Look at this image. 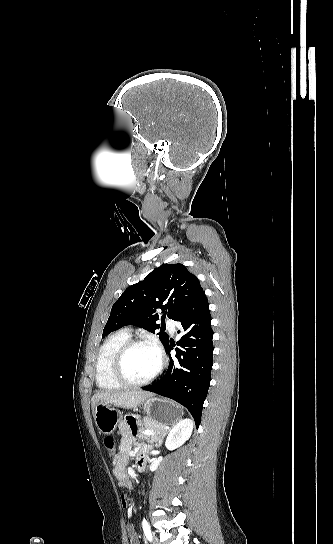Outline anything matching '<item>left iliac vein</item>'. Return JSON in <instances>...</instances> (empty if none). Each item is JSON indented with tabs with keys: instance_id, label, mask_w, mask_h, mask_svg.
<instances>
[{
	"instance_id": "obj_1",
	"label": "left iliac vein",
	"mask_w": 333,
	"mask_h": 544,
	"mask_svg": "<svg viewBox=\"0 0 333 544\" xmlns=\"http://www.w3.org/2000/svg\"><path fill=\"white\" fill-rule=\"evenodd\" d=\"M152 544H160L158 539L156 537H154V536L152 538Z\"/></svg>"
}]
</instances>
